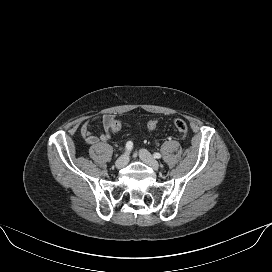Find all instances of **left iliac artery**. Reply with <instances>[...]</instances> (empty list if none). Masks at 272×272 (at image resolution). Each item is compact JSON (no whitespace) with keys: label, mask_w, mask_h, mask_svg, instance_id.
<instances>
[{"label":"left iliac artery","mask_w":272,"mask_h":272,"mask_svg":"<svg viewBox=\"0 0 272 272\" xmlns=\"http://www.w3.org/2000/svg\"><path fill=\"white\" fill-rule=\"evenodd\" d=\"M154 157L157 158V159H160L161 158V154L160 153H155Z\"/></svg>","instance_id":"44dca946"}]
</instances>
